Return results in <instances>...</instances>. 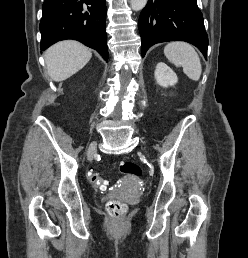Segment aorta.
I'll list each match as a JSON object with an SVG mask.
<instances>
[{"mask_svg":"<svg viewBox=\"0 0 248 258\" xmlns=\"http://www.w3.org/2000/svg\"><path fill=\"white\" fill-rule=\"evenodd\" d=\"M148 0H130L131 8L134 11H139L145 7Z\"/></svg>","mask_w":248,"mask_h":258,"instance_id":"aorta-1","label":"aorta"}]
</instances>
